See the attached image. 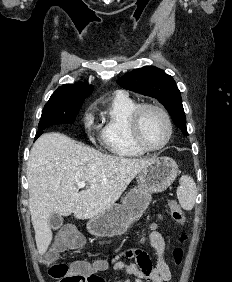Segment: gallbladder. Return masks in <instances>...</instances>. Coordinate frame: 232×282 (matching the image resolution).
I'll return each instance as SVG.
<instances>
[{
  "instance_id": "obj_1",
  "label": "gallbladder",
  "mask_w": 232,
  "mask_h": 282,
  "mask_svg": "<svg viewBox=\"0 0 232 282\" xmlns=\"http://www.w3.org/2000/svg\"><path fill=\"white\" fill-rule=\"evenodd\" d=\"M63 224V217L57 213H53L49 217V227L53 230L60 228Z\"/></svg>"
}]
</instances>
